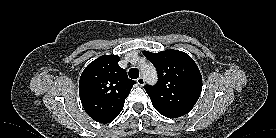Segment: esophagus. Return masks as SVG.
Returning a JSON list of instances; mask_svg holds the SVG:
<instances>
[{"mask_svg": "<svg viewBox=\"0 0 276 138\" xmlns=\"http://www.w3.org/2000/svg\"><path fill=\"white\" fill-rule=\"evenodd\" d=\"M136 81H137L138 85H140V86H143L145 84V79L142 76L139 77Z\"/></svg>", "mask_w": 276, "mask_h": 138, "instance_id": "34e87169", "label": "esophagus"}]
</instances>
